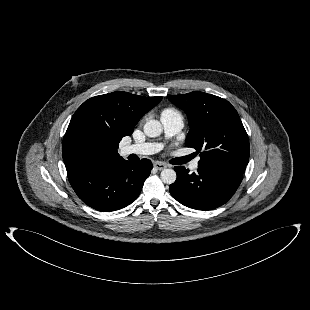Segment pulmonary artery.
Listing matches in <instances>:
<instances>
[{
  "label": "pulmonary artery",
  "mask_w": 310,
  "mask_h": 310,
  "mask_svg": "<svg viewBox=\"0 0 310 310\" xmlns=\"http://www.w3.org/2000/svg\"><path fill=\"white\" fill-rule=\"evenodd\" d=\"M161 123L164 128L165 135L172 137L179 133L184 127V119L179 113H163L161 115ZM161 144L158 143H141L126 145L121 148V154L126 156L130 154L149 155L160 151ZM199 167V158L192 161L189 165L191 171H196Z\"/></svg>",
  "instance_id": "1"
}]
</instances>
